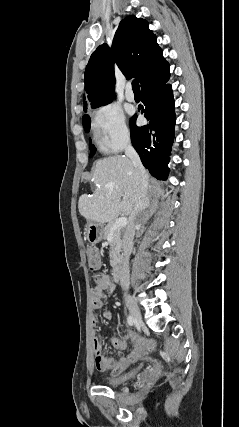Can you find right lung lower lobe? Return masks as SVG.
<instances>
[{
	"instance_id": "right-lung-lower-lobe-1",
	"label": "right lung lower lobe",
	"mask_w": 239,
	"mask_h": 427,
	"mask_svg": "<svg viewBox=\"0 0 239 427\" xmlns=\"http://www.w3.org/2000/svg\"><path fill=\"white\" fill-rule=\"evenodd\" d=\"M169 78L168 71L141 87L145 108H139V111L149 120V124L137 127V115L130 120L132 144L145 168L159 180H165L168 176L169 155L174 141L176 116L172 86L166 84Z\"/></svg>"
}]
</instances>
